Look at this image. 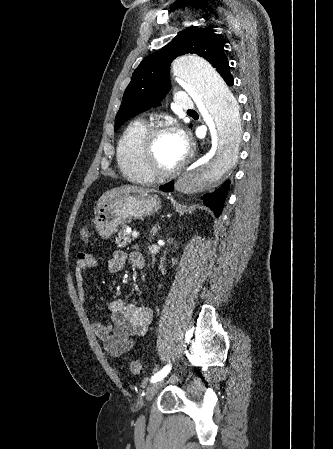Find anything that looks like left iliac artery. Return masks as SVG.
I'll return each instance as SVG.
<instances>
[{
    "label": "left iliac artery",
    "instance_id": "1",
    "mask_svg": "<svg viewBox=\"0 0 333 449\" xmlns=\"http://www.w3.org/2000/svg\"><path fill=\"white\" fill-rule=\"evenodd\" d=\"M170 370H171L170 364L164 366L160 371H158L151 377L150 382L153 383L162 380L165 376H167Z\"/></svg>",
    "mask_w": 333,
    "mask_h": 449
}]
</instances>
